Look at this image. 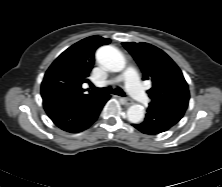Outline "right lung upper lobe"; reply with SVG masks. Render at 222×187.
<instances>
[{
	"label": "right lung upper lobe",
	"instance_id": "right-lung-upper-lobe-1",
	"mask_svg": "<svg viewBox=\"0 0 222 187\" xmlns=\"http://www.w3.org/2000/svg\"><path fill=\"white\" fill-rule=\"evenodd\" d=\"M110 43V39L100 36L87 37L65 50L49 67L41 84V93L52 90L77 101L99 98L90 91L84 93L82 84L90 83L88 77L94 65V53L101 45Z\"/></svg>",
	"mask_w": 222,
	"mask_h": 187
}]
</instances>
